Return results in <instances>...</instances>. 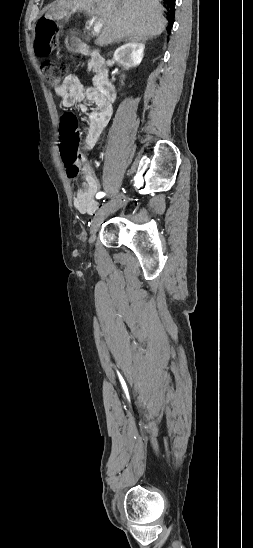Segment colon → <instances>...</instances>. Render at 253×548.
<instances>
[{
    "label": "colon",
    "instance_id": "obj_1",
    "mask_svg": "<svg viewBox=\"0 0 253 548\" xmlns=\"http://www.w3.org/2000/svg\"><path fill=\"white\" fill-rule=\"evenodd\" d=\"M57 44V26L49 20H41L36 28V47L41 53L50 51ZM42 71L47 83L52 88L62 85L67 67L65 64L46 60L42 63ZM60 151L63 161L68 166V174L74 176L79 169L74 164L78 158L80 136L77 131L75 117L71 113L64 115L60 135Z\"/></svg>",
    "mask_w": 253,
    "mask_h": 548
}]
</instances>
